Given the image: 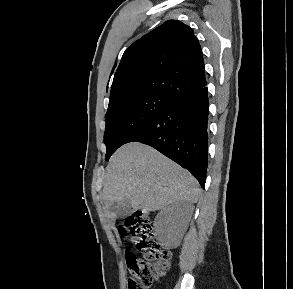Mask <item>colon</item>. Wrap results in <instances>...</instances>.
Listing matches in <instances>:
<instances>
[{"instance_id":"5ec220e1","label":"colon","mask_w":293,"mask_h":289,"mask_svg":"<svg viewBox=\"0 0 293 289\" xmlns=\"http://www.w3.org/2000/svg\"><path fill=\"white\" fill-rule=\"evenodd\" d=\"M123 237L131 238L144 258L126 253L129 268L128 289H149L167 269L171 253L156 240L152 220L143 213L128 216L119 228Z\"/></svg>"}]
</instances>
